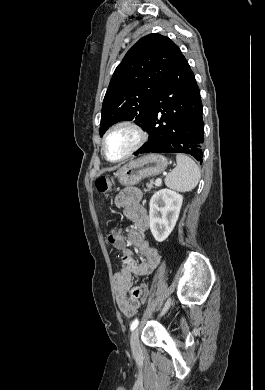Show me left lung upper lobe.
Instances as JSON below:
<instances>
[{"mask_svg":"<svg viewBox=\"0 0 265 390\" xmlns=\"http://www.w3.org/2000/svg\"><path fill=\"white\" fill-rule=\"evenodd\" d=\"M182 56L168 37L149 34L126 53L117 66L102 105L100 136L125 117H136L145 129L152 101Z\"/></svg>","mask_w":265,"mask_h":390,"instance_id":"1","label":"left lung upper lobe"}]
</instances>
